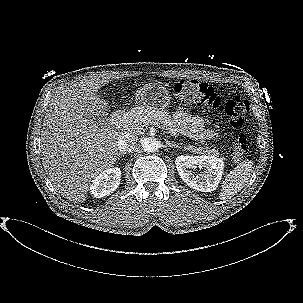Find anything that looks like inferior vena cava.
Instances as JSON below:
<instances>
[{"label":"inferior vena cava","mask_w":303,"mask_h":303,"mask_svg":"<svg viewBox=\"0 0 303 303\" xmlns=\"http://www.w3.org/2000/svg\"><path fill=\"white\" fill-rule=\"evenodd\" d=\"M134 138L130 134H124L118 138L117 148L121 153H128L134 149Z\"/></svg>","instance_id":"obj_1"}]
</instances>
